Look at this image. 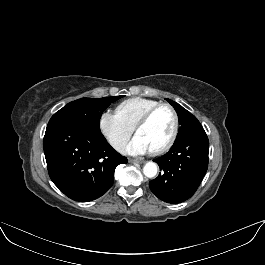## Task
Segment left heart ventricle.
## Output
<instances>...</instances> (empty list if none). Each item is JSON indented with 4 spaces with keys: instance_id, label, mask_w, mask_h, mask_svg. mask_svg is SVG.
Masks as SVG:
<instances>
[{
    "instance_id": "obj_1",
    "label": "left heart ventricle",
    "mask_w": 265,
    "mask_h": 265,
    "mask_svg": "<svg viewBox=\"0 0 265 265\" xmlns=\"http://www.w3.org/2000/svg\"><path fill=\"white\" fill-rule=\"evenodd\" d=\"M173 128V116L168 109L159 110L147 124L140 127L137 135L148 145L150 150L161 146L170 136Z\"/></svg>"
}]
</instances>
